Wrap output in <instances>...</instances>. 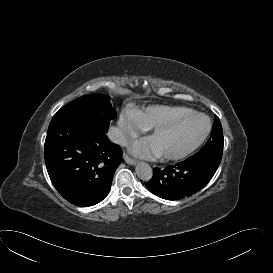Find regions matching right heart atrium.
<instances>
[{"label":"right heart atrium","mask_w":273,"mask_h":273,"mask_svg":"<svg viewBox=\"0 0 273 273\" xmlns=\"http://www.w3.org/2000/svg\"><path fill=\"white\" fill-rule=\"evenodd\" d=\"M118 126L125 137H132L138 131L136 123L134 122V120L131 119L129 115H122L119 120Z\"/></svg>","instance_id":"right-heart-atrium-1"}]
</instances>
